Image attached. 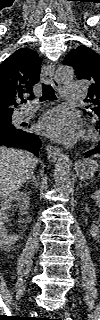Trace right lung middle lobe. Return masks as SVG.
Instances as JSON below:
<instances>
[{
  "label": "right lung middle lobe",
  "mask_w": 100,
  "mask_h": 320,
  "mask_svg": "<svg viewBox=\"0 0 100 320\" xmlns=\"http://www.w3.org/2000/svg\"><path fill=\"white\" fill-rule=\"evenodd\" d=\"M11 118L7 119H0V132L2 131H10V132H21L23 129H25V125H21L20 128L14 127L11 124Z\"/></svg>",
  "instance_id": "dd1d6c3e"
}]
</instances>
